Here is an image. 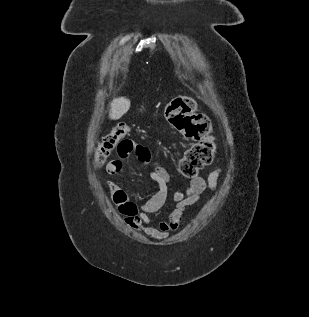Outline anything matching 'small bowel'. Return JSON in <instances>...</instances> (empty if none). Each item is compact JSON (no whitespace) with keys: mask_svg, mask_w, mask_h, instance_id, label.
I'll use <instances>...</instances> for the list:
<instances>
[{"mask_svg":"<svg viewBox=\"0 0 309 317\" xmlns=\"http://www.w3.org/2000/svg\"><path fill=\"white\" fill-rule=\"evenodd\" d=\"M134 152L132 142L128 141L125 143L124 151L118 152L120 158L113 159L107 164L108 179L106 185L108 193L118 212L123 216L124 222L130 228L155 240H164L171 232L178 229L183 212L187 207L195 205L206 190L211 192L216 190L223 169L216 168L207 178L201 176L193 178L189 187L184 191H173L169 185V174L163 167V162L160 160L152 161L149 150L144 147L141 153L135 154ZM131 154H135L142 165L151 164L150 177L158 184V190L140 207L129 199L122 187L112 181L113 177L122 173L124 160ZM168 198H171L175 203V209L166 220L155 225L150 214L160 210Z\"/></svg>","mask_w":309,"mask_h":317,"instance_id":"small-bowel-1","label":"small bowel"}]
</instances>
